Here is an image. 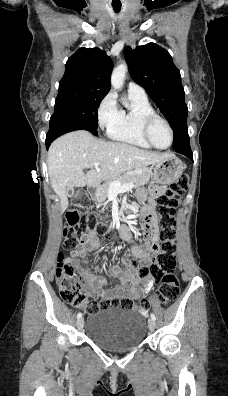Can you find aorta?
Masks as SVG:
<instances>
[{"instance_id":"1","label":"aorta","mask_w":228,"mask_h":396,"mask_svg":"<svg viewBox=\"0 0 228 396\" xmlns=\"http://www.w3.org/2000/svg\"><path fill=\"white\" fill-rule=\"evenodd\" d=\"M127 72V65L122 63L118 65L112 72L111 85L114 89L120 90L124 84L125 76ZM127 106V104H125Z\"/></svg>"}]
</instances>
